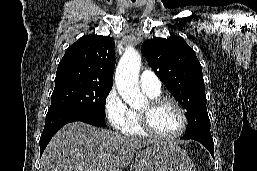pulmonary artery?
I'll return each instance as SVG.
<instances>
[{
	"label": "pulmonary artery",
	"instance_id": "obj_1",
	"mask_svg": "<svg viewBox=\"0 0 257 171\" xmlns=\"http://www.w3.org/2000/svg\"><path fill=\"white\" fill-rule=\"evenodd\" d=\"M140 85L145 91L159 92L161 90V82L155 72L151 70H144L141 73Z\"/></svg>",
	"mask_w": 257,
	"mask_h": 171
}]
</instances>
